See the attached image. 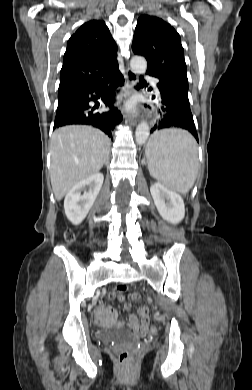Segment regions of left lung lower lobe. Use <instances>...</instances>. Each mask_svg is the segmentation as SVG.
Wrapping results in <instances>:
<instances>
[{
	"label": "left lung lower lobe",
	"instance_id": "1",
	"mask_svg": "<svg viewBox=\"0 0 252 390\" xmlns=\"http://www.w3.org/2000/svg\"><path fill=\"white\" fill-rule=\"evenodd\" d=\"M147 74L156 77L153 74ZM158 79L159 83L157 84V87L160 91V103L162 104L158 111L162 116V119L156 122L155 126L151 129V133L163 128L178 127L190 131L198 141V135L188 99V89H185L168 79ZM145 84L146 82L142 81V85ZM153 99H155V97H153Z\"/></svg>",
	"mask_w": 252,
	"mask_h": 390
}]
</instances>
